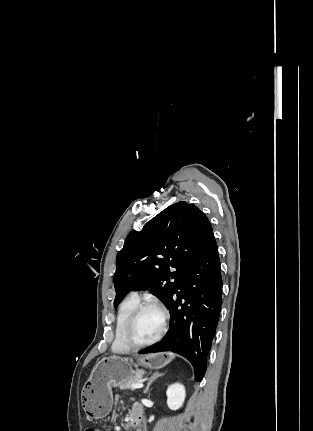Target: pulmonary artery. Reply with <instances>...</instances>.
I'll return each instance as SVG.
<instances>
[{"instance_id":"pulmonary-artery-1","label":"pulmonary artery","mask_w":313,"mask_h":431,"mask_svg":"<svg viewBox=\"0 0 313 431\" xmlns=\"http://www.w3.org/2000/svg\"><path fill=\"white\" fill-rule=\"evenodd\" d=\"M131 294H132V295H134V296H137V297H139V294H138V292H132Z\"/></svg>"}]
</instances>
